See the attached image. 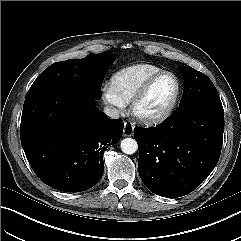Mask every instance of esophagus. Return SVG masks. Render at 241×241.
<instances>
[{"label":"esophagus","mask_w":241,"mask_h":241,"mask_svg":"<svg viewBox=\"0 0 241 241\" xmlns=\"http://www.w3.org/2000/svg\"><path fill=\"white\" fill-rule=\"evenodd\" d=\"M133 132H134V126L132 124L125 122L124 129H123L124 136H132Z\"/></svg>","instance_id":"1"}]
</instances>
